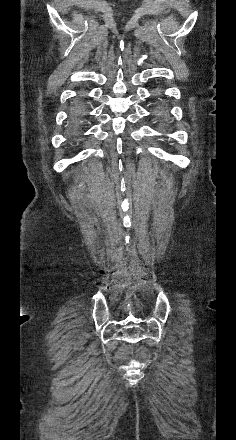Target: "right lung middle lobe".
<instances>
[{
  "instance_id": "obj_1",
  "label": "right lung middle lobe",
  "mask_w": 236,
  "mask_h": 440,
  "mask_svg": "<svg viewBox=\"0 0 236 440\" xmlns=\"http://www.w3.org/2000/svg\"><path fill=\"white\" fill-rule=\"evenodd\" d=\"M78 113H79L80 115H82V114H83V109L80 108V109L78 110Z\"/></svg>"
}]
</instances>
